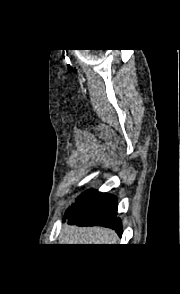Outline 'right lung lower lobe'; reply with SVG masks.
<instances>
[{
	"label": "right lung lower lobe",
	"mask_w": 180,
	"mask_h": 294,
	"mask_svg": "<svg viewBox=\"0 0 180 294\" xmlns=\"http://www.w3.org/2000/svg\"><path fill=\"white\" fill-rule=\"evenodd\" d=\"M64 219L79 226L100 225L113 228L120 236L122 226L117 217V198L106 193L87 191L68 208Z\"/></svg>",
	"instance_id": "1"
}]
</instances>
